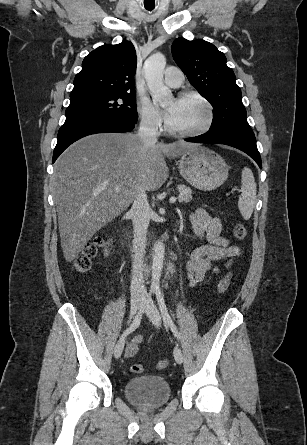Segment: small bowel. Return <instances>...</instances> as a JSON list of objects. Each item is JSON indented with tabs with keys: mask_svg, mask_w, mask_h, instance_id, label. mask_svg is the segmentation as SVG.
<instances>
[{
	"mask_svg": "<svg viewBox=\"0 0 307 445\" xmlns=\"http://www.w3.org/2000/svg\"><path fill=\"white\" fill-rule=\"evenodd\" d=\"M191 222L195 233L203 240L192 252L187 265L189 284L194 286L203 281L209 271L219 273L220 268L215 263L225 261L224 266L230 267L233 258L240 254V249L221 235V219L211 216L205 209H195L191 214ZM142 341L141 335L135 336L127 346L126 356L135 355Z\"/></svg>",
	"mask_w": 307,
	"mask_h": 445,
	"instance_id": "c3829d8e",
	"label": "small bowel"
}]
</instances>
